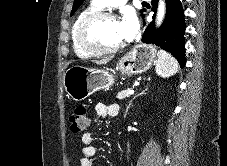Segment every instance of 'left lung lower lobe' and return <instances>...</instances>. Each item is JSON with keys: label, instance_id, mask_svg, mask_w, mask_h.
I'll return each instance as SVG.
<instances>
[{"label": "left lung lower lobe", "instance_id": "obj_1", "mask_svg": "<svg viewBox=\"0 0 227 166\" xmlns=\"http://www.w3.org/2000/svg\"><path fill=\"white\" fill-rule=\"evenodd\" d=\"M152 4L153 10L156 12L157 0H152ZM166 6V17L162 26L155 29L154 22H151L143 34L142 42L160 46L170 52L184 67L186 63L184 53L185 22L182 4L180 0H166Z\"/></svg>", "mask_w": 227, "mask_h": 166}]
</instances>
